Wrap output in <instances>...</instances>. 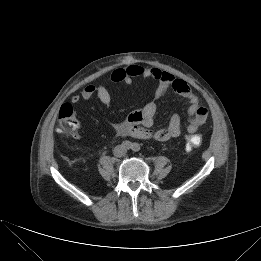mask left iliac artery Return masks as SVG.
<instances>
[{"mask_svg":"<svg viewBox=\"0 0 261 261\" xmlns=\"http://www.w3.org/2000/svg\"><path fill=\"white\" fill-rule=\"evenodd\" d=\"M132 150H133L134 152H138V151L140 150L139 144L134 143V144L132 145Z\"/></svg>","mask_w":261,"mask_h":261,"instance_id":"44dca946","label":"left iliac artery"}]
</instances>
